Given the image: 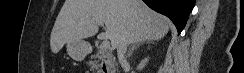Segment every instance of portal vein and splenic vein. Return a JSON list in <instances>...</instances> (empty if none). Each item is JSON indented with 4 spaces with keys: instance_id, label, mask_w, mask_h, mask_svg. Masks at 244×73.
Returning a JSON list of instances; mask_svg holds the SVG:
<instances>
[{
    "instance_id": "1",
    "label": "portal vein and splenic vein",
    "mask_w": 244,
    "mask_h": 73,
    "mask_svg": "<svg viewBox=\"0 0 244 73\" xmlns=\"http://www.w3.org/2000/svg\"><path fill=\"white\" fill-rule=\"evenodd\" d=\"M91 21H92L93 23H98V24L101 25L102 27L104 26V24H103L102 22L98 21V20L92 19ZM101 46H102V48H103L104 50H108V49H110V42L108 41V39H104V40L102 41Z\"/></svg>"
}]
</instances>
